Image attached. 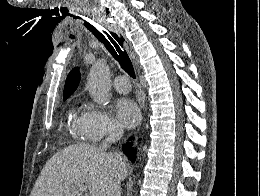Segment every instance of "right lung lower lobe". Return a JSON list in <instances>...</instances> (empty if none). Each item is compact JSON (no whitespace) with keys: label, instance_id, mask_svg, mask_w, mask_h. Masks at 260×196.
Masks as SVG:
<instances>
[{"label":"right lung lower lobe","instance_id":"right-lung-lower-lobe-1","mask_svg":"<svg viewBox=\"0 0 260 196\" xmlns=\"http://www.w3.org/2000/svg\"><path fill=\"white\" fill-rule=\"evenodd\" d=\"M130 147H131V144L123 145V151L127 156H129L130 160L134 162L135 156H134L133 152L131 151Z\"/></svg>","mask_w":260,"mask_h":196}]
</instances>
